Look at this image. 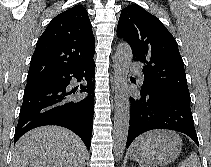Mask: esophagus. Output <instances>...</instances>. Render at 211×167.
<instances>
[{"mask_svg": "<svg viewBox=\"0 0 211 167\" xmlns=\"http://www.w3.org/2000/svg\"><path fill=\"white\" fill-rule=\"evenodd\" d=\"M114 80L112 79V90H114L115 86H114Z\"/></svg>", "mask_w": 211, "mask_h": 167, "instance_id": "34e87169", "label": "esophagus"}]
</instances>
